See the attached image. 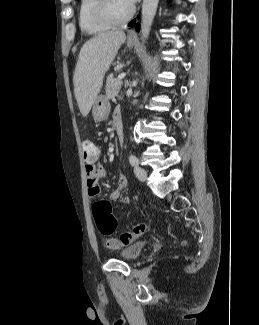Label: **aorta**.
I'll return each mask as SVG.
<instances>
[{
	"mask_svg": "<svg viewBox=\"0 0 259 325\" xmlns=\"http://www.w3.org/2000/svg\"><path fill=\"white\" fill-rule=\"evenodd\" d=\"M159 0H143L141 16V33L143 40L149 37L150 29L157 11Z\"/></svg>",
	"mask_w": 259,
	"mask_h": 325,
	"instance_id": "aorta-1",
	"label": "aorta"
}]
</instances>
